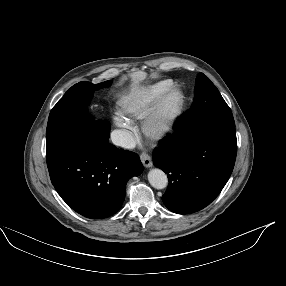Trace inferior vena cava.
<instances>
[{
	"label": "inferior vena cava",
	"instance_id": "1",
	"mask_svg": "<svg viewBox=\"0 0 286 286\" xmlns=\"http://www.w3.org/2000/svg\"><path fill=\"white\" fill-rule=\"evenodd\" d=\"M112 143L116 146H120L123 148H133L135 146L134 137L127 130H114L111 133Z\"/></svg>",
	"mask_w": 286,
	"mask_h": 286
}]
</instances>
